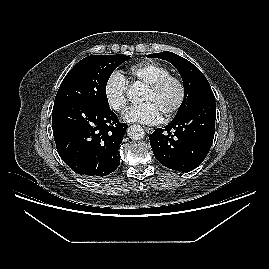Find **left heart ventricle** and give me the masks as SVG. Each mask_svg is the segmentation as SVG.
<instances>
[{"mask_svg":"<svg viewBox=\"0 0 269 269\" xmlns=\"http://www.w3.org/2000/svg\"><path fill=\"white\" fill-rule=\"evenodd\" d=\"M178 98L179 88L176 83L171 82L157 93L147 89L143 97V102H152L160 114L164 116L175 105Z\"/></svg>","mask_w":269,"mask_h":269,"instance_id":"obj_1","label":"left heart ventricle"}]
</instances>
